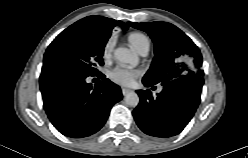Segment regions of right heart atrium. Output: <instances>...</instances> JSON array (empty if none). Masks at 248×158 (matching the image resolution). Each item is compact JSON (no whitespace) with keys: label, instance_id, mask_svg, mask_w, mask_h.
I'll list each match as a JSON object with an SVG mask.
<instances>
[{"label":"right heart atrium","instance_id":"obj_1","mask_svg":"<svg viewBox=\"0 0 248 158\" xmlns=\"http://www.w3.org/2000/svg\"><path fill=\"white\" fill-rule=\"evenodd\" d=\"M112 41L108 40L103 47V57L104 59H109L112 55Z\"/></svg>","mask_w":248,"mask_h":158}]
</instances>
